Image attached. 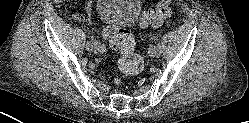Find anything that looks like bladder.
<instances>
[{
	"mask_svg": "<svg viewBox=\"0 0 249 123\" xmlns=\"http://www.w3.org/2000/svg\"><path fill=\"white\" fill-rule=\"evenodd\" d=\"M141 0H97V12L107 25L125 27L137 21Z\"/></svg>",
	"mask_w": 249,
	"mask_h": 123,
	"instance_id": "obj_1",
	"label": "bladder"
}]
</instances>
